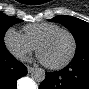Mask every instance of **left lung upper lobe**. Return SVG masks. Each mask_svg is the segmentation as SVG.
Masks as SVG:
<instances>
[{
	"instance_id": "5c2ea615",
	"label": "left lung upper lobe",
	"mask_w": 89,
	"mask_h": 89,
	"mask_svg": "<svg viewBox=\"0 0 89 89\" xmlns=\"http://www.w3.org/2000/svg\"><path fill=\"white\" fill-rule=\"evenodd\" d=\"M50 21L64 25L73 34L76 41V53L89 51V23L70 16H56Z\"/></svg>"
}]
</instances>
